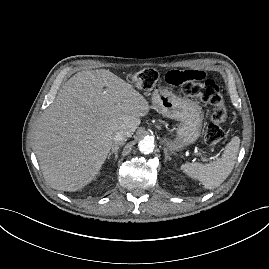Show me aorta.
I'll return each mask as SVG.
<instances>
[{
  "label": "aorta",
  "mask_w": 269,
  "mask_h": 269,
  "mask_svg": "<svg viewBox=\"0 0 269 269\" xmlns=\"http://www.w3.org/2000/svg\"><path fill=\"white\" fill-rule=\"evenodd\" d=\"M139 150L144 154H149L154 150V141L150 138H144L138 144Z\"/></svg>",
  "instance_id": "aorta-1"
}]
</instances>
